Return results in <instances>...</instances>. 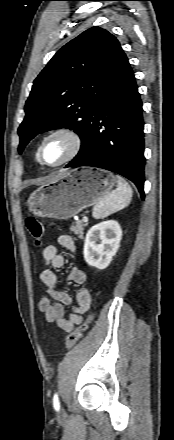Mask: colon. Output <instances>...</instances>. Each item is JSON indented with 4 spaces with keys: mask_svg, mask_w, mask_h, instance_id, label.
I'll return each mask as SVG.
<instances>
[{
    "mask_svg": "<svg viewBox=\"0 0 174 440\" xmlns=\"http://www.w3.org/2000/svg\"><path fill=\"white\" fill-rule=\"evenodd\" d=\"M26 227L30 235L33 237L35 245L37 247L41 246L44 235L43 223L35 217H29L26 220ZM90 320L91 316L89 315L85 322L80 324L67 336L65 341L66 349H71L84 336V333L89 326Z\"/></svg>",
    "mask_w": 174,
    "mask_h": 440,
    "instance_id": "5ec220e1",
    "label": "colon"
}]
</instances>
